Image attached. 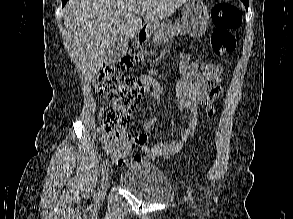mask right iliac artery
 Returning <instances> with one entry per match:
<instances>
[{
	"instance_id": "1",
	"label": "right iliac artery",
	"mask_w": 293,
	"mask_h": 219,
	"mask_svg": "<svg viewBox=\"0 0 293 219\" xmlns=\"http://www.w3.org/2000/svg\"><path fill=\"white\" fill-rule=\"evenodd\" d=\"M106 165H107V163H103L101 166H100V173L101 174H104V172H105V170H106Z\"/></svg>"
}]
</instances>
